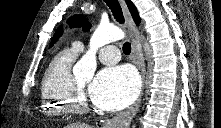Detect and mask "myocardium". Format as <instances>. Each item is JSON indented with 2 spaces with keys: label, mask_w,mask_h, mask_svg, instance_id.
<instances>
[{
  "label": "myocardium",
  "mask_w": 221,
  "mask_h": 128,
  "mask_svg": "<svg viewBox=\"0 0 221 128\" xmlns=\"http://www.w3.org/2000/svg\"><path fill=\"white\" fill-rule=\"evenodd\" d=\"M70 110L73 112H83L88 109L89 103L84 94L83 87L78 81L74 83L71 91Z\"/></svg>",
  "instance_id": "f54148a6"
}]
</instances>
